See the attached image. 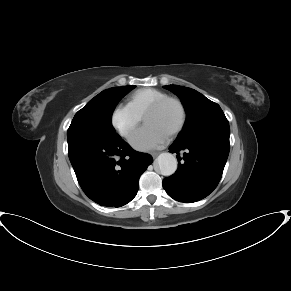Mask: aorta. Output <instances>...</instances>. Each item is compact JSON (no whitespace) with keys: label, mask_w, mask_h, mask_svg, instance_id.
Here are the masks:
<instances>
[{"label":"aorta","mask_w":291,"mask_h":291,"mask_svg":"<svg viewBox=\"0 0 291 291\" xmlns=\"http://www.w3.org/2000/svg\"><path fill=\"white\" fill-rule=\"evenodd\" d=\"M160 173L164 176H170L177 170V159L171 153H162L157 158Z\"/></svg>","instance_id":"aorta-1"}]
</instances>
